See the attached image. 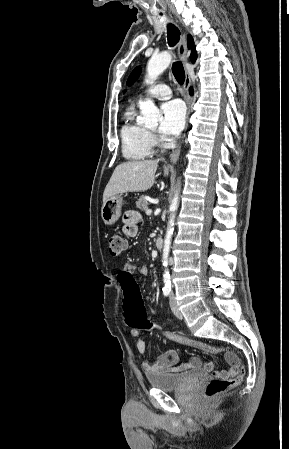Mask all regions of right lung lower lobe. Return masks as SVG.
Segmentation results:
<instances>
[{
	"instance_id": "right-lung-lower-lobe-1",
	"label": "right lung lower lobe",
	"mask_w": 289,
	"mask_h": 449,
	"mask_svg": "<svg viewBox=\"0 0 289 449\" xmlns=\"http://www.w3.org/2000/svg\"><path fill=\"white\" fill-rule=\"evenodd\" d=\"M190 94H193V89L192 88H190Z\"/></svg>"
}]
</instances>
